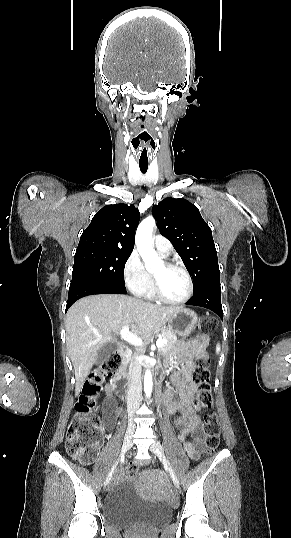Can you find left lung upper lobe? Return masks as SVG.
Returning a JSON list of instances; mask_svg holds the SVG:
<instances>
[{"label":"left lung upper lobe","instance_id":"1","mask_svg":"<svg viewBox=\"0 0 291 538\" xmlns=\"http://www.w3.org/2000/svg\"><path fill=\"white\" fill-rule=\"evenodd\" d=\"M152 213L158 228L174 246L194 281V294L219 281L217 252L208 224L189 201L165 198Z\"/></svg>","mask_w":291,"mask_h":538}]
</instances>
